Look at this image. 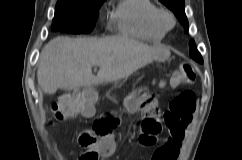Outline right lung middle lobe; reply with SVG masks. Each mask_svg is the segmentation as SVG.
<instances>
[{
    "label": "right lung middle lobe",
    "mask_w": 242,
    "mask_h": 160,
    "mask_svg": "<svg viewBox=\"0 0 242 160\" xmlns=\"http://www.w3.org/2000/svg\"><path fill=\"white\" fill-rule=\"evenodd\" d=\"M105 0H58L52 31L73 34L90 33L95 25L98 10Z\"/></svg>",
    "instance_id": "obj_1"
}]
</instances>
